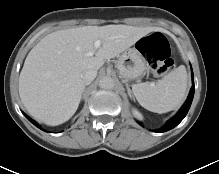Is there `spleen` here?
Instances as JSON below:
<instances>
[{"label": "spleen", "mask_w": 219, "mask_h": 174, "mask_svg": "<svg viewBox=\"0 0 219 174\" xmlns=\"http://www.w3.org/2000/svg\"><path fill=\"white\" fill-rule=\"evenodd\" d=\"M186 89L187 73L183 65L156 83L144 82L132 85V91L139 104L159 114L176 109L184 99Z\"/></svg>", "instance_id": "1"}]
</instances>
